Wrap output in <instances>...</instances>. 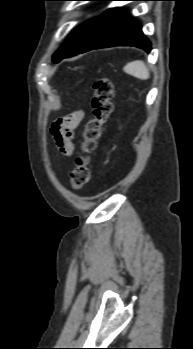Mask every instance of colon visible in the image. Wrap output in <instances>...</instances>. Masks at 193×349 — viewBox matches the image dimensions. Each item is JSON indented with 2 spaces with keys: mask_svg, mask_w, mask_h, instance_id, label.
<instances>
[{
  "mask_svg": "<svg viewBox=\"0 0 193 349\" xmlns=\"http://www.w3.org/2000/svg\"><path fill=\"white\" fill-rule=\"evenodd\" d=\"M114 86L110 79L100 78L94 83L92 117L86 123L80 152L74 158V168L70 174L74 189H82L90 179V160L101 136L103 125L113 111Z\"/></svg>",
  "mask_w": 193,
  "mask_h": 349,
  "instance_id": "5ec220e1",
  "label": "colon"
}]
</instances>
